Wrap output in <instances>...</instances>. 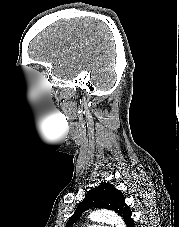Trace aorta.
<instances>
[{"label":"aorta","instance_id":"762f6f07","mask_svg":"<svg viewBox=\"0 0 179 227\" xmlns=\"http://www.w3.org/2000/svg\"><path fill=\"white\" fill-rule=\"evenodd\" d=\"M93 222H106L114 227H126L123 220L114 212L108 210H96L88 217Z\"/></svg>","mask_w":179,"mask_h":227}]
</instances>
